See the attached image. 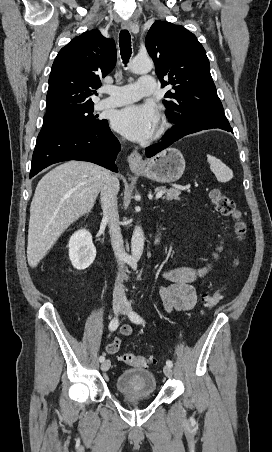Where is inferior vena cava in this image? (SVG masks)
Masks as SVG:
<instances>
[{"instance_id":"602c4592","label":"inferior vena cava","mask_w":272,"mask_h":452,"mask_svg":"<svg viewBox=\"0 0 272 452\" xmlns=\"http://www.w3.org/2000/svg\"><path fill=\"white\" fill-rule=\"evenodd\" d=\"M118 191V180L116 177L110 175L101 190V207L103 210V219L108 222L111 244L119 266V274L115 282L113 299L125 300V291L124 286L120 281V272L126 262L127 254L123 245L117 210Z\"/></svg>"}]
</instances>
